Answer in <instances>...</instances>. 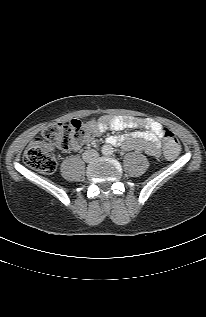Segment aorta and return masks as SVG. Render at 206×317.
Here are the masks:
<instances>
[{"label": "aorta", "instance_id": "aorta-1", "mask_svg": "<svg viewBox=\"0 0 206 317\" xmlns=\"http://www.w3.org/2000/svg\"><path fill=\"white\" fill-rule=\"evenodd\" d=\"M102 152L105 154V155H110L113 153V148L111 145H105L103 146L102 148Z\"/></svg>", "mask_w": 206, "mask_h": 317}]
</instances>
